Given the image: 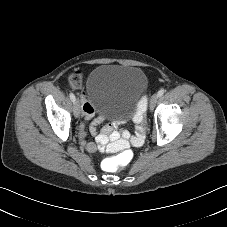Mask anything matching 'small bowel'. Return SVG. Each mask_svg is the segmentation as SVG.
Masks as SVG:
<instances>
[{
    "instance_id": "c3829d8e",
    "label": "small bowel",
    "mask_w": 227,
    "mask_h": 227,
    "mask_svg": "<svg viewBox=\"0 0 227 227\" xmlns=\"http://www.w3.org/2000/svg\"><path fill=\"white\" fill-rule=\"evenodd\" d=\"M82 110L84 119L91 120V132L96 134V127L104 121L102 115L94 118L96 110L94 106L88 102L84 93H81ZM85 126L82 125V131ZM146 131L142 128L137 130L135 136H131L127 130H118L116 123H106L100 133L96 134L94 140H87L81 138V142L88 152H95L96 150L120 151L126 150L129 147H139L145 140Z\"/></svg>"
}]
</instances>
